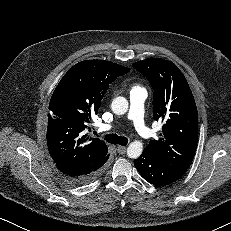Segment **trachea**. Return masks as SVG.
Masks as SVG:
<instances>
[{"label": "trachea", "instance_id": "obj_1", "mask_svg": "<svg viewBox=\"0 0 231 231\" xmlns=\"http://www.w3.org/2000/svg\"><path fill=\"white\" fill-rule=\"evenodd\" d=\"M104 139L111 144L126 146L128 144V138L124 136H118L117 134H107Z\"/></svg>", "mask_w": 231, "mask_h": 231}]
</instances>
